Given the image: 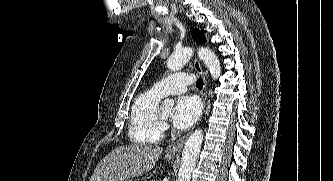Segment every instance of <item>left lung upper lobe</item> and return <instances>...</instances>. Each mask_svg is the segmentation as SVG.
<instances>
[{"instance_id": "5c2ea615", "label": "left lung upper lobe", "mask_w": 333, "mask_h": 181, "mask_svg": "<svg viewBox=\"0 0 333 181\" xmlns=\"http://www.w3.org/2000/svg\"><path fill=\"white\" fill-rule=\"evenodd\" d=\"M192 36L196 42L204 43L206 41L205 36L198 29L193 30Z\"/></svg>"}]
</instances>
